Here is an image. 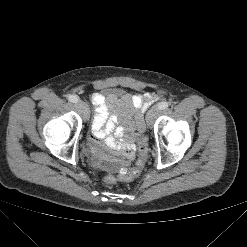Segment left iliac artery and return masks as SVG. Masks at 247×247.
Instances as JSON below:
<instances>
[{"label": "left iliac artery", "mask_w": 247, "mask_h": 247, "mask_svg": "<svg viewBox=\"0 0 247 247\" xmlns=\"http://www.w3.org/2000/svg\"><path fill=\"white\" fill-rule=\"evenodd\" d=\"M168 107H169V103L168 102H161L158 105L159 110H164V109H166Z\"/></svg>", "instance_id": "44dca946"}]
</instances>
